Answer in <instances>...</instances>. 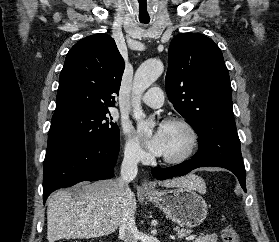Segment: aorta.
I'll return each instance as SVG.
<instances>
[{
  "instance_id": "obj_1",
  "label": "aorta",
  "mask_w": 279,
  "mask_h": 242,
  "mask_svg": "<svg viewBox=\"0 0 279 242\" xmlns=\"http://www.w3.org/2000/svg\"><path fill=\"white\" fill-rule=\"evenodd\" d=\"M164 70L163 63L157 59H151L137 69L133 83V116L137 120V128L146 135H150L155 122L152 118L145 120V114L142 111L140 97L162 74Z\"/></svg>"
}]
</instances>
